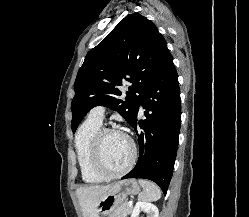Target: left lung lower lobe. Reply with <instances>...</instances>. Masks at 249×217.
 I'll return each instance as SVG.
<instances>
[{"label":"left lung lower lobe","instance_id":"1","mask_svg":"<svg viewBox=\"0 0 249 217\" xmlns=\"http://www.w3.org/2000/svg\"><path fill=\"white\" fill-rule=\"evenodd\" d=\"M178 76L171 54L151 84L144 91L130 125L137 133L139 158L132 171L123 177L144 178L157 183L166 194L173 174L181 125V104ZM146 109L145 120L139 122V105Z\"/></svg>","mask_w":249,"mask_h":217}]
</instances>
